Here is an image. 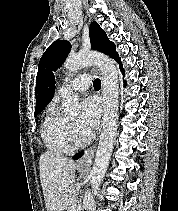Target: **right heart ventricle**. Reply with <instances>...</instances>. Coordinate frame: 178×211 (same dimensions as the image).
<instances>
[{
    "instance_id": "1",
    "label": "right heart ventricle",
    "mask_w": 178,
    "mask_h": 211,
    "mask_svg": "<svg viewBox=\"0 0 178 211\" xmlns=\"http://www.w3.org/2000/svg\"><path fill=\"white\" fill-rule=\"evenodd\" d=\"M41 136L48 150L54 153H66L73 148L67 140V119L57 105H52L41 126Z\"/></svg>"
}]
</instances>
